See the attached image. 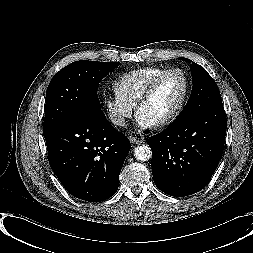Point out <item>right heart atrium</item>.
Returning <instances> with one entry per match:
<instances>
[{
    "label": "right heart atrium",
    "instance_id": "right-heart-atrium-1",
    "mask_svg": "<svg viewBox=\"0 0 253 253\" xmlns=\"http://www.w3.org/2000/svg\"><path fill=\"white\" fill-rule=\"evenodd\" d=\"M103 107L109 120L117 127L126 126L127 120L132 116L134 106L127 103L116 93L103 99Z\"/></svg>",
    "mask_w": 253,
    "mask_h": 253
}]
</instances>
